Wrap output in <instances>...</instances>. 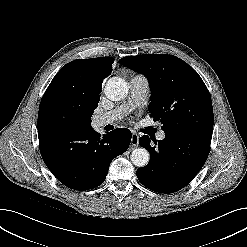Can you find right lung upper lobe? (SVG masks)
Wrapping results in <instances>:
<instances>
[{"instance_id":"cb5924a9","label":"right lung upper lobe","mask_w":247,"mask_h":247,"mask_svg":"<svg viewBox=\"0 0 247 247\" xmlns=\"http://www.w3.org/2000/svg\"><path fill=\"white\" fill-rule=\"evenodd\" d=\"M114 58L99 57L70 62L77 68L78 82L91 95L100 97L102 82L111 74Z\"/></svg>"}]
</instances>
